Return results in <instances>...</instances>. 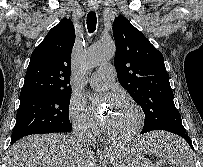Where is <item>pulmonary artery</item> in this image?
<instances>
[{
    "instance_id": "e3ab8cb5",
    "label": "pulmonary artery",
    "mask_w": 203,
    "mask_h": 167,
    "mask_svg": "<svg viewBox=\"0 0 203 167\" xmlns=\"http://www.w3.org/2000/svg\"><path fill=\"white\" fill-rule=\"evenodd\" d=\"M115 80V68L113 65L100 67L91 77L90 84L97 90L108 89Z\"/></svg>"
}]
</instances>
